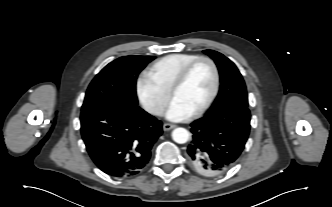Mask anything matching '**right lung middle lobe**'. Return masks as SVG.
<instances>
[{
	"mask_svg": "<svg viewBox=\"0 0 332 207\" xmlns=\"http://www.w3.org/2000/svg\"><path fill=\"white\" fill-rule=\"evenodd\" d=\"M153 56L120 57L105 66L90 83L82 112L101 106L133 108L138 104L136 79Z\"/></svg>",
	"mask_w": 332,
	"mask_h": 207,
	"instance_id": "dd1d6c3e",
	"label": "right lung middle lobe"
}]
</instances>
